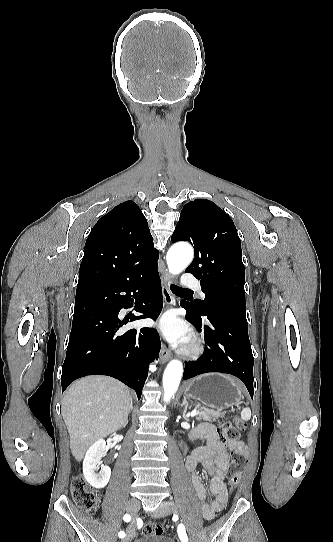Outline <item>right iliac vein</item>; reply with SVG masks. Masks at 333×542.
I'll return each instance as SVG.
<instances>
[{
  "instance_id": "1",
  "label": "right iliac vein",
  "mask_w": 333,
  "mask_h": 542,
  "mask_svg": "<svg viewBox=\"0 0 333 542\" xmlns=\"http://www.w3.org/2000/svg\"><path fill=\"white\" fill-rule=\"evenodd\" d=\"M140 507V503L136 499H131L127 504V512H129L132 516L136 515L138 509ZM134 529L135 524L134 522H131L129 526L126 528V537L122 542H130L134 536Z\"/></svg>"
}]
</instances>
